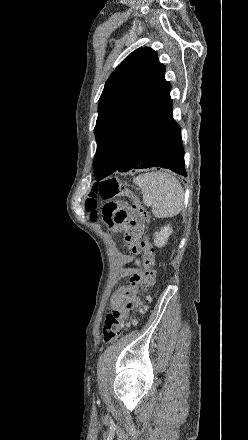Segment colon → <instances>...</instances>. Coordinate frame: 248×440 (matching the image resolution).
<instances>
[{"instance_id": "1", "label": "colon", "mask_w": 248, "mask_h": 440, "mask_svg": "<svg viewBox=\"0 0 248 440\" xmlns=\"http://www.w3.org/2000/svg\"><path fill=\"white\" fill-rule=\"evenodd\" d=\"M119 195H125L131 198V205H119L114 200ZM99 201H104L101 214L104 222L110 227H116L125 232L131 223L146 224L149 219L147 209L144 207L140 196L133 190L122 184L117 178H109L93 185L85 201V208L90 213L91 218L97 217ZM139 249L142 252V272L140 276L130 278V285L136 287L140 283L146 287H151L155 283V250L148 238H144ZM141 292V290H140ZM149 296H145L138 312L143 313L147 309ZM137 319L135 316L128 320H121L119 312L114 310L106 316L103 327V339L106 343L117 341L124 330L135 326Z\"/></svg>"}]
</instances>
